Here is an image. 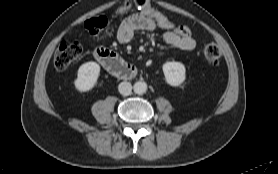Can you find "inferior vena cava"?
Listing matches in <instances>:
<instances>
[{
	"label": "inferior vena cava",
	"mask_w": 278,
	"mask_h": 174,
	"mask_svg": "<svg viewBox=\"0 0 278 174\" xmlns=\"http://www.w3.org/2000/svg\"><path fill=\"white\" fill-rule=\"evenodd\" d=\"M121 95L128 96L132 92V85L129 82H121L118 86Z\"/></svg>",
	"instance_id": "602c4592"
}]
</instances>
